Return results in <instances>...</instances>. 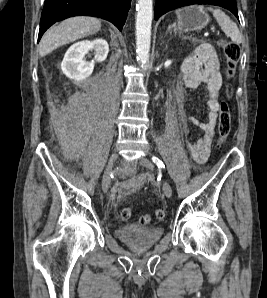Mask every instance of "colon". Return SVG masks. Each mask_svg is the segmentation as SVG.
Returning <instances> with one entry per match:
<instances>
[{
    "label": "colon",
    "instance_id": "obj_1",
    "mask_svg": "<svg viewBox=\"0 0 267 298\" xmlns=\"http://www.w3.org/2000/svg\"><path fill=\"white\" fill-rule=\"evenodd\" d=\"M225 58H226V76L229 78L233 75L236 64L240 56V47L238 44L230 41H221ZM229 92V88H228ZM231 131V113L229 104L223 100L220 104L219 123H218V146H222L228 138ZM165 216V212L162 209L154 211L153 215L147 214L139 218V223L146 225L152 221L153 218L162 220ZM120 217L123 221H128L132 218V209L130 207H124L120 211Z\"/></svg>",
    "mask_w": 267,
    "mask_h": 298
}]
</instances>
